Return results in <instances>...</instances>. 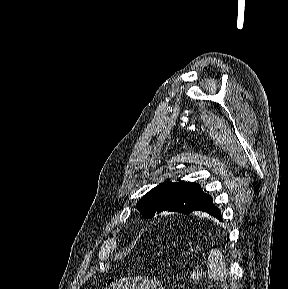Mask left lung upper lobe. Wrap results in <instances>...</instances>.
I'll return each mask as SVG.
<instances>
[{
    "mask_svg": "<svg viewBox=\"0 0 288 289\" xmlns=\"http://www.w3.org/2000/svg\"><path fill=\"white\" fill-rule=\"evenodd\" d=\"M205 196L197 183L164 182L146 193L137 203V209L148 219L163 211L189 214Z\"/></svg>",
    "mask_w": 288,
    "mask_h": 289,
    "instance_id": "1",
    "label": "left lung upper lobe"
}]
</instances>
